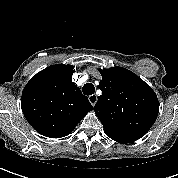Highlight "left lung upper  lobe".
I'll return each instance as SVG.
<instances>
[{
    "instance_id": "1",
    "label": "left lung upper lobe",
    "mask_w": 178,
    "mask_h": 178,
    "mask_svg": "<svg viewBox=\"0 0 178 178\" xmlns=\"http://www.w3.org/2000/svg\"><path fill=\"white\" fill-rule=\"evenodd\" d=\"M102 95L94 106L111 139L129 143L143 137L155 122L159 101L152 88L122 67L100 70Z\"/></svg>"
}]
</instances>
